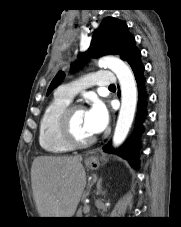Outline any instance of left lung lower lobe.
<instances>
[{
    "label": "left lung lower lobe",
    "instance_id": "0a47b994",
    "mask_svg": "<svg viewBox=\"0 0 181 227\" xmlns=\"http://www.w3.org/2000/svg\"><path fill=\"white\" fill-rule=\"evenodd\" d=\"M141 53L133 46L132 49L128 52L125 61L131 66L138 87V105H137V116L135 119V129L129 138L128 142L120 147L119 149H112L111 143H108L103 147L105 152L116 153L119 156L127 159L133 168H138V150L140 145L138 142L139 134L144 130L142 128L143 121L147 115V99L148 95L145 87V78L143 76L144 66L140 60Z\"/></svg>",
    "mask_w": 181,
    "mask_h": 227
}]
</instances>
